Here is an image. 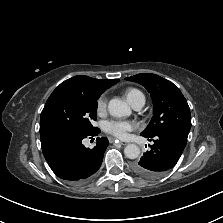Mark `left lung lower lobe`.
<instances>
[{
	"label": "left lung lower lobe",
	"instance_id": "obj_1",
	"mask_svg": "<svg viewBox=\"0 0 223 223\" xmlns=\"http://www.w3.org/2000/svg\"><path fill=\"white\" fill-rule=\"evenodd\" d=\"M186 135L176 131H165L148 138L154 144L136 161L132 169L139 176L156 178L173 168L187 143ZM146 138V137H145Z\"/></svg>",
	"mask_w": 223,
	"mask_h": 223
}]
</instances>
